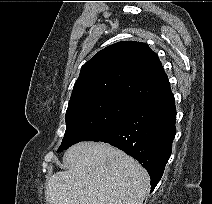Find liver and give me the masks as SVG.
Segmentation results:
<instances>
[{"instance_id": "1", "label": "liver", "mask_w": 212, "mask_h": 204, "mask_svg": "<svg viewBox=\"0 0 212 204\" xmlns=\"http://www.w3.org/2000/svg\"><path fill=\"white\" fill-rule=\"evenodd\" d=\"M67 171L46 185L49 204H142L150 178L138 161L103 142H80L63 156Z\"/></svg>"}]
</instances>
